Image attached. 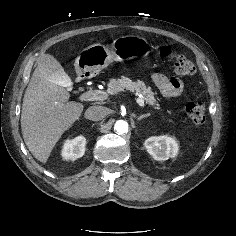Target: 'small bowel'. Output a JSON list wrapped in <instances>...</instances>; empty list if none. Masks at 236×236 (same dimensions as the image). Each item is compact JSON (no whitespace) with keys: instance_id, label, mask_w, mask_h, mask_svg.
I'll list each match as a JSON object with an SVG mask.
<instances>
[{"instance_id":"obj_1","label":"small bowel","mask_w":236,"mask_h":236,"mask_svg":"<svg viewBox=\"0 0 236 236\" xmlns=\"http://www.w3.org/2000/svg\"><path fill=\"white\" fill-rule=\"evenodd\" d=\"M152 80L161 95L166 99H174L181 95L183 91V83L177 78H171L162 73H155L152 76Z\"/></svg>"}]
</instances>
